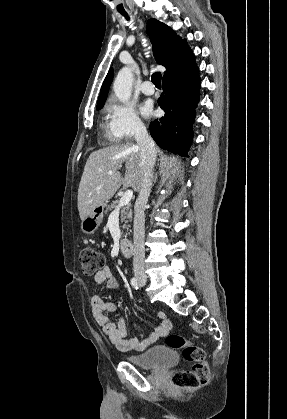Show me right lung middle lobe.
<instances>
[{
    "mask_svg": "<svg viewBox=\"0 0 287 419\" xmlns=\"http://www.w3.org/2000/svg\"><path fill=\"white\" fill-rule=\"evenodd\" d=\"M102 108V106H99V107H97V110H99V109H101Z\"/></svg>",
    "mask_w": 287,
    "mask_h": 419,
    "instance_id": "obj_1",
    "label": "right lung middle lobe"
}]
</instances>
